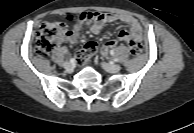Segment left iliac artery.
I'll return each mask as SVG.
<instances>
[{
	"instance_id": "left-iliac-artery-1",
	"label": "left iliac artery",
	"mask_w": 194,
	"mask_h": 133,
	"mask_svg": "<svg viewBox=\"0 0 194 133\" xmlns=\"http://www.w3.org/2000/svg\"><path fill=\"white\" fill-rule=\"evenodd\" d=\"M113 61H118V59L117 58H113Z\"/></svg>"
}]
</instances>
